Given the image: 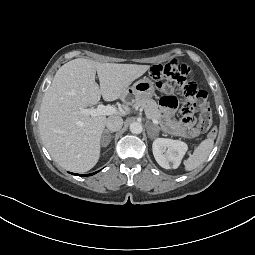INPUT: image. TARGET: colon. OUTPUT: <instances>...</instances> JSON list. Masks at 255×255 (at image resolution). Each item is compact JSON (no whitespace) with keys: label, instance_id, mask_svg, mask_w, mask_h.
<instances>
[{"label":"colon","instance_id":"colon-1","mask_svg":"<svg viewBox=\"0 0 255 255\" xmlns=\"http://www.w3.org/2000/svg\"><path fill=\"white\" fill-rule=\"evenodd\" d=\"M150 75L153 80L158 81V87L164 93H172L176 89L182 92L185 98L184 114H190L195 111L199 113L197 127L200 131H208L211 128L213 118L207 93L197 87L190 67L172 60L164 65L152 66ZM162 80L165 81L162 82ZM215 135L216 130L211 129L209 137L213 138Z\"/></svg>","mask_w":255,"mask_h":255}]
</instances>
